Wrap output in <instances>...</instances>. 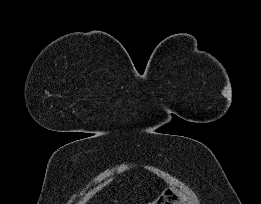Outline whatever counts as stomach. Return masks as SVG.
<instances>
[{"mask_svg": "<svg viewBox=\"0 0 261 204\" xmlns=\"http://www.w3.org/2000/svg\"><path fill=\"white\" fill-rule=\"evenodd\" d=\"M154 204H184L172 188H167L158 197Z\"/></svg>", "mask_w": 261, "mask_h": 204, "instance_id": "stomach-1", "label": "stomach"}]
</instances>
